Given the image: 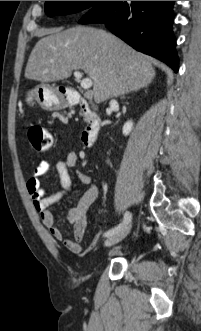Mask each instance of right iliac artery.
Listing matches in <instances>:
<instances>
[{"mask_svg": "<svg viewBox=\"0 0 201 331\" xmlns=\"http://www.w3.org/2000/svg\"><path fill=\"white\" fill-rule=\"evenodd\" d=\"M131 220V213L130 212H126L124 214V220L121 224H119L117 227L112 228L110 230H108L107 232L104 233L105 237H109L111 235H113L115 232H117L118 230H120L121 228L125 227Z\"/></svg>", "mask_w": 201, "mask_h": 331, "instance_id": "1", "label": "right iliac artery"}]
</instances>
